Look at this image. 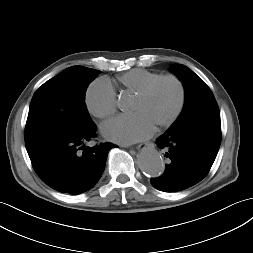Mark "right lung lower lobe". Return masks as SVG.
I'll return each mask as SVG.
<instances>
[{
    "instance_id": "1",
    "label": "right lung lower lobe",
    "mask_w": 253,
    "mask_h": 253,
    "mask_svg": "<svg viewBox=\"0 0 253 253\" xmlns=\"http://www.w3.org/2000/svg\"><path fill=\"white\" fill-rule=\"evenodd\" d=\"M96 129L93 125L28 153L40 179L62 193L75 195L93 188L105 169L108 152L116 147L112 143L85 147L84 144L95 137Z\"/></svg>"
}]
</instances>
